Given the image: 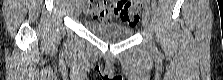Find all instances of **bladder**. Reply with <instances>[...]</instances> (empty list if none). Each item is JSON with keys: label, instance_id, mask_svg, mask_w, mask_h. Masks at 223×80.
Returning a JSON list of instances; mask_svg holds the SVG:
<instances>
[{"label": "bladder", "instance_id": "bladder-1", "mask_svg": "<svg viewBox=\"0 0 223 80\" xmlns=\"http://www.w3.org/2000/svg\"><path fill=\"white\" fill-rule=\"evenodd\" d=\"M85 27L92 35L104 41L126 40L134 33L131 27L110 22L86 20Z\"/></svg>", "mask_w": 223, "mask_h": 80}]
</instances>
